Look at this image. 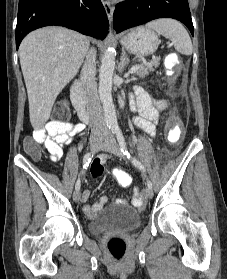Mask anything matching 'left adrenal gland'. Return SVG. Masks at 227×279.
Wrapping results in <instances>:
<instances>
[{
	"mask_svg": "<svg viewBox=\"0 0 227 279\" xmlns=\"http://www.w3.org/2000/svg\"><path fill=\"white\" fill-rule=\"evenodd\" d=\"M129 58L126 56V52L124 49H122V55L120 57V63H119V66H118V69H119V72L122 73L123 72V69L124 67H126L129 63Z\"/></svg>",
	"mask_w": 227,
	"mask_h": 279,
	"instance_id": "obj_1",
	"label": "left adrenal gland"
}]
</instances>
